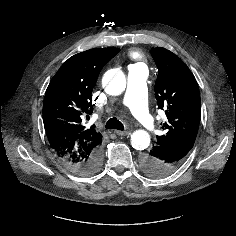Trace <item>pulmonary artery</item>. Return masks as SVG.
I'll list each match as a JSON object with an SVG mask.
<instances>
[{
	"label": "pulmonary artery",
	"mask_w": 236,
	"mask_h": 236,
	"mask_svg": "<svg viewBox=\"0 0 236 236\" xmlns=\"http://www.w3.org/2000/svg\"><path fill=\"white\" fill-rule=\"evenodd\" d=\"M148 69L143 64L128 68V87L123 96V103L146 128L152 129L153 119L147 106Z\"/></svg>",
	"instance_id": "pulmonary-artery-1"
}]
</instances>
